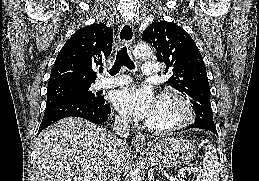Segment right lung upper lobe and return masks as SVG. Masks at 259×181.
Listing matches in <instances>:
<instances>
[{
	"instance_id": "1",
	"label": "right lung upper lobe",
	"mask_w": 259,
	"mask_h": 181,
	"mask_svg": "<svg viewBox=\"0 0 259 181\" xmlns=\"http://www.w3.org/2000/svg\"><path fill=\"white\" fill-rule=\"evenodd\" d=\"M113 30L92 24L76 31L56 57L48 86L61 83L92 84L94 68L103 65L112 50Z\"/></svg>"
}]
</instances>
